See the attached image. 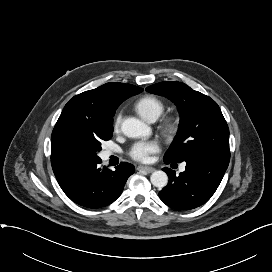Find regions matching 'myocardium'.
<instances>
[{
    "mask_svg": "<svg viewBox=\"0 0 272 272\" xmlns=\"http://www.w3.org/2000/svg\"><path fill=\"white\" fill-rule=\"evenodd\" d=\"M177 125L173 118H165L162 122V129L166 134H173L176 131Z\"/></svg>",
    "mask_w": 272,
    "mask_h": 272,
    "instance_id": "f54148a6",
    "label": "myocardium"
}]
</instances>
